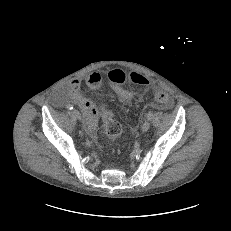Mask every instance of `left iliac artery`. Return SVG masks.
I'll return each mask as SVG.
<instances>
[{"mask_svg":"<svg viewBox=\"0 0 231 231\" xmlns=\"http://www.w3.org/2000/svg\"><path fill=\"white\" fill-rule=\"evenodd\" d=\"M152 117H153V113H152V112H149V113L147 114V119H148V120H151Z\"/></svg>","mask_w":231,"mask_h":231,"instance_id":"obj_1","label":"left iliac artery"}]
</instances>
